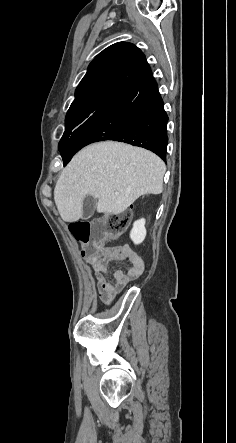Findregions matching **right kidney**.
Returning <instances> with one entry per match:
<instances>
[{
    "label": "right kidney",
    "mask_w": 236,
    "mask_h": 443,
    "mask_svg": "<svg viewBox=\"0 0 236 443\" xmlns=\"http://www.w3.org/2000/svg\"><path fill=\"white\" fill-rule=\"evenodd\" d=\"M146 237L145 219H140L134 222L133 228L130 232V238L135 244H140Z\"/></svg>",
    "instance_id": "obj_1"
}]
</instances>
